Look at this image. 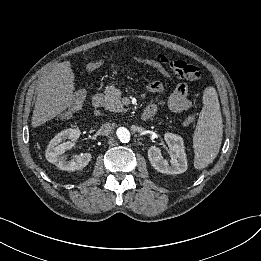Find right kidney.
<instances>
[{
	"label": "right kidney",
	"mask_w": 261,
	"mask_h": 261,
	"mask_svg": "<svg viewBox=\"0 0 261 261\" xmlns=\"http://www.w3.org/2000/svg\"><path fill=\"white\" fill-rule=\"evenodd\" d=\"M79 137V129H66L58 133L49 142L46 149V159L48 162L54 164L61 170L75 171L83 169L91 161L92 156L90 153L74 155L71 159L61 156L65 151L70 150L74 146ZM67 139L71 141L61 143Z\"/></svg>",
	"instance_id": "ca27d5eb"
}]
</instances>
